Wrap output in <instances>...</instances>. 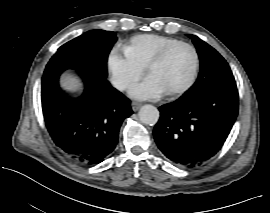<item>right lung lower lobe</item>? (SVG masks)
I'll list each match as a JSON object with an SVG mask.
<instances>
[{
	"label": "right lung lower lobe",
	"mask_w": 270,
	"mask_h": 213,
	"mask_svg": "<svg viewBox=\"0 0 270 213\" xmlns=\"http://www.w3.org/2000/svg\"><path fill=\"white\" fill-rule=\"evenodd\" d=\"M63 71H45L42 110L54 143L75 162L96 165L116 147L120 126L133 112L130 100L111 87L105 77L80 72L84 93L72 98L59 87Z\"/></svg>",
	"instance_id": "1"
}]
</instances>
